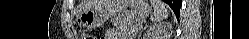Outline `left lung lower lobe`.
<instances>
[{
  "label": "left lung lower lobe",
  "instance_id": "1",
  "mask_svg": "<svg viewBox=\"0 0 249 39\" xmlns=\"http://www.w3.org/2000/svg\"><path fill=\"white\" fill-rule=\"evenodd\" d=\"M169 6L173 9L175 15L177 18H179L180 15V8L182 5V0H164Z\"/></svg>",
  "mask_w": 249,
  "mask_h": 39
}]
</instances>
